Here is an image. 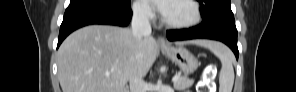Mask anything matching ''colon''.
<instances>
[{"mask_svg": "<svg viewBox=\"0 0 296 92\" xmlns=\"http://www.w3.org/2000/svg\"><path fill=\"white\" fill-rule=\"evenodd\" d=\"M214 79V67L208 66L204 71L202 78L200 80L199 91L200 92H209L210 87Z\"/></svg>", "mask_w": 296, "mask_h": 92, "instance_id": "obj_1", "label": "colon"}]
</instances>
